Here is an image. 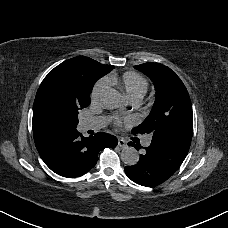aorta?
<instances>
[{"label": "aorta", "mask_w": 228, "mask_h": 228, "mask_svg": "<svg viewBox=\"0 0 228 228\" xmlns=\"http://www.w3.org/2000/svg\"><path fill=\"white\" fill-rule=\"evenodd\" d=\"M102 104L107 109H116L124 104L123 96L115 89H106L101 96ZM121 160L128 166H133L139 161V153L134 147H124L121 151Z\"/></svg>", "instance_id": "aorta-1"}]
</instances>
